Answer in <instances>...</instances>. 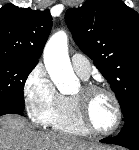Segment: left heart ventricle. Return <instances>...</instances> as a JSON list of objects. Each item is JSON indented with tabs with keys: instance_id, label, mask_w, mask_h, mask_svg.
Instances as JSON below:
<instances>
[{
	"instance_id": "left-heart-ventricle-1",
	"label": "left heart ventricle",
	"mask_w": 139,
	"mask_h": 150,
	"mask_svg": "<svg viewBox=\"0 0 139 150\" xmlns=\"http://www.w3.org/2000/svg\"><path fill=\"white\" fill-rule=\"evenodd\" d=\"M81 90L78 92V94ZM89 117L93 126L101 131L109 130L116 121V110L112 99L103 93L94 95L89 103Z\"/></svg>"
}]
</instances>
